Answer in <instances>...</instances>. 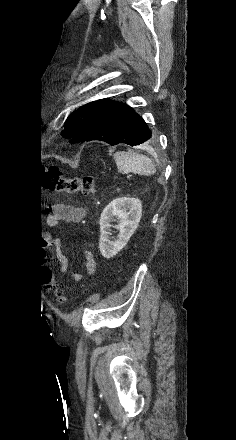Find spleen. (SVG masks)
<instances>
[{
	"label": "spleen",
	"mask_w": 236,
	"mask_h": 440,
	"mask_svg": "<svg viewBox=\"0 0 236 440\" xmlns=\"http://www.w3.org/2000/svg\"><path fill=\"white\" fill-rule=\"evenodd\" d=\"M113 157L120 173L133 172L138 175L147 176L156 173L152 160L143 154L132 151H118Z\"/></svg>",
	"instance_id": "3e777b00"
}]
</instances>
